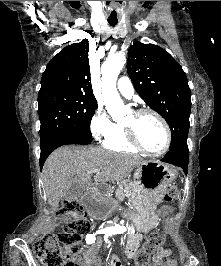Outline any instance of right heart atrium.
Segmentation results:
<instances>
[{
    "instance_id": "obj_1",
    "label": "right heart atrium",
    "mask_w": 221,
    "mask_h": 266,
    "mask_svg": "<svg viewBox=\"0 0 221 266\" xmlns=\"http://www.w3.org/2000/svg\"><path fill=\"white\" fill-rule=\"evenodd\" d=\"M115 124L111 121L105 109L98 106L90 121V132L94 139L101 140L109 136Z\"/></svg>"
}]
</instances>
